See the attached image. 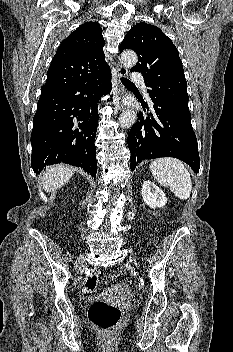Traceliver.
Instances as JSON below:
<instances>
[{
    "label": "liver",
    "instance_id": "liver-1",
    "mask_svg": "<svg viewBox=\"0 0 233 352\" xmlns=\"http://www.w3.org/2000/svg\"><path fill=\"white\" fill-rule=\"evenodd\" d=\"M74 172V168L63 164L48 167L42 176L43 189L50 192L61 188L70 180Z\"/></svg>",
    "mask_w": 233,
    "mask_h": 352
}]
</instances>
